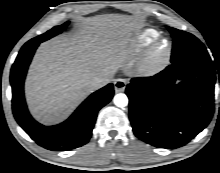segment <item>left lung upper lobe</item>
<instances>
[{
  "instance_id": "obj_1",
  "label": "left lung upper lobe",
  "mask_w": 220,
  "mask_h": 173,
  "mask_svg": "<svg viewBox=\"0 0 220 173\" xmlns=\"http://www.w3.org/2000/svg\"><path fill=\"white\" fill-rule=\"evenodd\" d=\"M173 37L171 61H179L192 56L209 57L205 46L192 34L168 27Z\"/></svg>"
}]
</instances>
